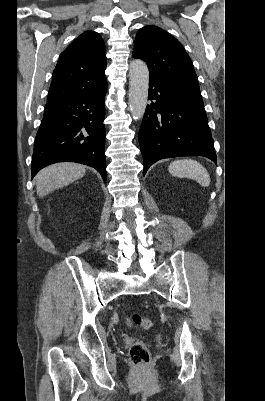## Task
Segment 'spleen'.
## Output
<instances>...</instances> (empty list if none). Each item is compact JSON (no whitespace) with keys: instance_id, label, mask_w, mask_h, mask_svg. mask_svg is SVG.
Here are the masks:
<instances>
[{"instance_id":"1","label":"spleen","mask_w":265,"mask_h":401,"mask_svg":"<svg viewBox=\"0 0 265 401\" xmlns=\"http://www.w3.org/2000/svg\"><path fill=\"white\" fill-rule=\"evenodd\" d=\"M169 172L173 176H180V178H193L197 180L201 186H209L211 178L204 166L197 162V160H191V158H185V160H173L168 166Z\"/></svg>"}]
</instances>
